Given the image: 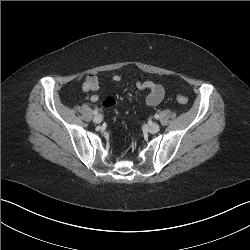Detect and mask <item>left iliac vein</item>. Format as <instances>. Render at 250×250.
<instances>
[{
	"mask_svg": "<svg viewBox=\"0 0 250 250\" xmlns=\"http://www.w3.org/2000/svg\"><path fill=\"white\" fill-rule=\"evenodd\" d=\"M148 131L152 134L157 133L160 130V125L157 123H151L148 125Z\"/></svg>",
	"mask_w": 250,
	"mask_h": 250,
	"instance_id": "1",
	"label": "left iliac vein"
}]
</instances>
